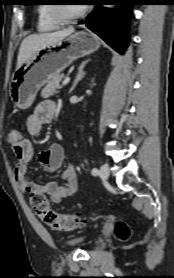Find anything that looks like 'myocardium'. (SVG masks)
Masks as SVG:
<instances>
[{"label": "myocardium", "mask_w": 174, "mask_h": 278, "mask_svg": "<svg viewBox=\"0 0 174 278\" xmlns=\"http://www.w3.org/2000/svg\"><path fill=\"white\" fill-rule=\"evenodd\" d=\"M87 12V7L83 6L81 10L77 13H69L66 9L65 5L62 4H54L51 7L52 17L59 23L65 24L75 21L81 17H83Z\"/></svg>", "instance_id": "myocardium-1"}]
</instances>
